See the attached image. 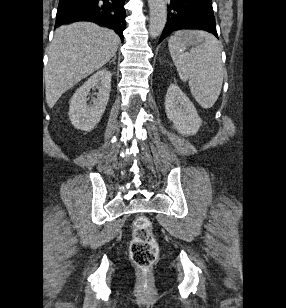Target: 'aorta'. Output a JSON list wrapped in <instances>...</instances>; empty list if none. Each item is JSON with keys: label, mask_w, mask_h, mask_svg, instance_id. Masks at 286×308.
Masks as SVG:
<instances>
[{"label": "aorta", "mask_w": 286, "mask_h": 308, "mask_svg": "<svg viewBox=\"0 0 286 308\" xmlns=\"http://www.w3.org/2000/svg\"><path fill=\"white\" fill-rule=\"evenodd\" d=\"M150 10L149 34L151 38L161 35L167 22V6L165 0H148Z\"/></svg>", "instance_id": "obj_1"}]
</instances>
